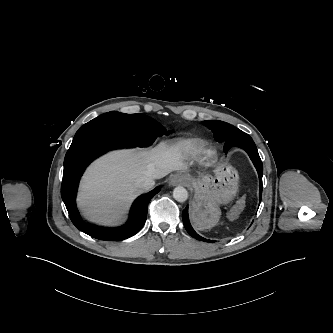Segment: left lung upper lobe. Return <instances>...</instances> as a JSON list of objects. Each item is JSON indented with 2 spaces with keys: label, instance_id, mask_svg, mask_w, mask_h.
<instances>
[{
  "label": "left lung upper lobe",
  "instance_id": "left-lung-upper-lobe-1",
  "mask_svg": "<svg viewBox=\"0 0 333 333\" xmlns=\"http://www.w3.org/2000/svg\"><path fill=\"white\" fill-rule=\"evenodd\" d=\"M204 125L212 130L215 134V139L218 142H226L240 130L229 123L223 121H203Z\"/></svg>",
  "mask_w": 333,
  "mask_h": 333
}]
</instances>
